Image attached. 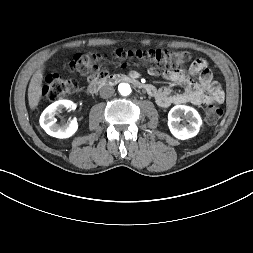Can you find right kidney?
<instances>
[{
  "instance_id": "ca27d5eb",
  "label": "right kidney",
  "mask_w": 253,
  "mask_h": 253,
  "mask_svg": "<svg viewBox=\"0 0 253 253\" xmlns=\"http://www.w3.org/2000/svg\"><path fill=\"white\" fill-rule=\"evenodd\" d=\"M63 108L74 109L75 106L70 100H58L49 105L41 114L40 125L45 132L56 138H68L72 136L78 129V123L75 119L67 124H57L54 116L62 111Z\"/></svg>"
}]
</instances>
